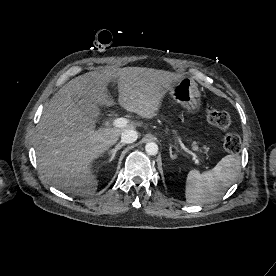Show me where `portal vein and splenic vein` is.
Here are the masks:
<instances>
[{
    "instance_id": "1",
    "label": "portal vein and splenic vein",
    "mask_w": 276,
    "mask_h": 276,
    "mask_svg": "<svg viewBox=\"0 0 276 276\" xmlns=\"http://www.w3.org/2000/svg\"><path fill=\"white\" fill-rule=\"evenodd\" d=\"M128 123V120L126 118H117L113 121V125L117 128L124 127Z\"/></svg>"
}]
</instances>
